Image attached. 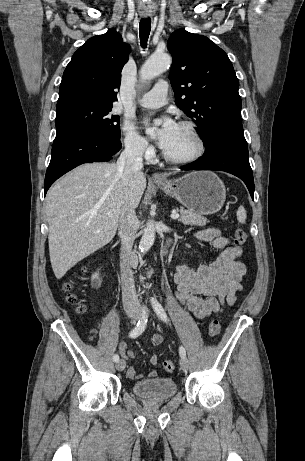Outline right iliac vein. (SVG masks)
Masks as SVG:
<instances>
[{
	"label": "right iliac vein",
	"mask_w": 305,
	"mask_h": 461,
	"mask_svg": "<svg viewBox=\"0 0 305 461\" xmlns=\"http://www.w3.org/2000/svg\"><path fill=\"white\" fill-rule=\"evenodd\" d=\"M126 312H127L128 317H129L133 322L137 321V319L139 318L138 312H137V310H136L135 308H129ZM125 365H126V363H125V361L122 359V360H120V361H118V362L116 363V369H117L118 371H123L124 368H125Z\"/></svg>",
	"instance_id": "63e3f726"
}]
</instances>
